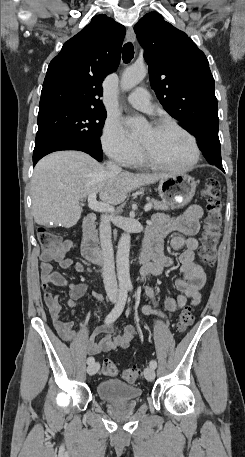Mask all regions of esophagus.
<instances>
[{"instance_id": "1", "label": "esophagus", "mask_w": 245, "mask_h": 457, "mask_svg": "<svg viewBox=\"0 0 245 457\" xmlns=\"http://www.w3.org/2000/svg\"><path fill=\"white\" fill-rule=\"evenodd\" d=\"M126 38L128 42L133 43L135 41V33L132 27H129L126 33Z\"/></svg>"}]
</instances>
